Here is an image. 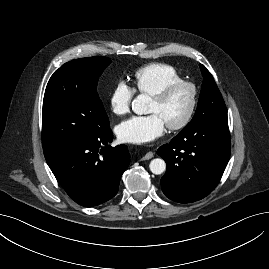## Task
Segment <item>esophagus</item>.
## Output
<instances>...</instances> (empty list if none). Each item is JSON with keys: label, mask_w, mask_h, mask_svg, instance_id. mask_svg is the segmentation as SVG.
I'll use <instances>...</instances> for the list:
<instances>
[{"label": "esophagus", "mask_w": 269, "mask_h": 269, "mask_svg": "<svg viewBox=\"0 0 269 269\" xmlns=\"http://www.w3.org/2000/svg\"><path fill=\"white\" fill-rule=\"evenodd\" d=\"M153 156H154V154L152 152H148L142 157V159L149 160V159L153 158Z\"/></svg>", "instance_id": "esophagus-1"}]
</instances>
